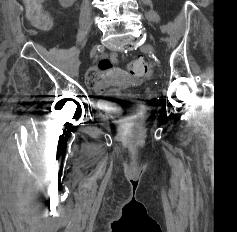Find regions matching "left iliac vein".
Returning <instances> with one entry per match:
<instances>
[{
  "label": "left iliac vein",
  "mask_w": 237,
  "mask_h": 232,
  "mask_svg": "<svg viewBox=\"0 0 237 232\" xmlns=\"http://www.w3.org/2000/svg\"><path fill=\"white\" fill-rule=\"evenodd\" d=\"M142 50H149V51H153L154 48L151 44H145L141 47Z\"/></svg>",
  "instance_id": "4c4485c4"
}]
</instances>
